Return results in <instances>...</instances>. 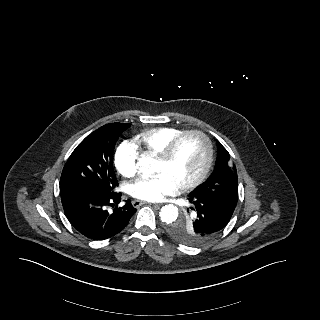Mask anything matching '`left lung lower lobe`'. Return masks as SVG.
Masks as SVG:
<instances>
[{
	"mask_svg": "<svg viewBox=\"0 0 320 320\" xmlns=\"http://www.w3.org/2000/svg\"><path fill=\"white\" fill-rule=\"evenodd\" d=\"M188 200L200 214L199 234L204 241L216 237L228 224L235 208L203 195L189 194Z\"/></svg>",
	"mask_w": 320,
	"mask_h": 320,
	"instance_id": "obj_1",
	"label": "left lung lower lobe"
}]
</instances>
